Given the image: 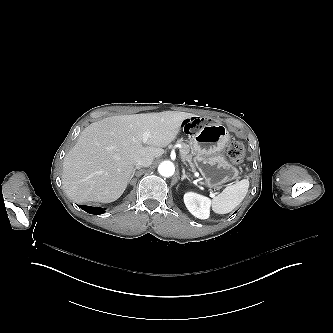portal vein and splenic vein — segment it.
<instances>
[{"mask_svg": "<svg viewBox=\"0 0 333 333\" xmlns=\"http://www.w3.org/2000/svg\"><path fill=\"white\" fill-rule=\"evenodd\" d=\"M149 137H150V134H149V133H145V134L143 135V140H144V141H147Z\"/></svg>", "mask_w": 333, "mask_h": 333, "instance_id": "18ae733b", "label": "portal vein and splenic vein"}]
</instances>
